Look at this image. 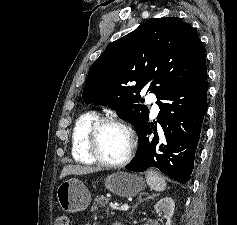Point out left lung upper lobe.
Instances as JSON below:
<instances>
[{"instance_id": "left-lung-upper-lobe-1", "label": "left lung upper lobe", "mask_w": 237, "mask_h": 225, "mask_svg": "<svg viewBox=\"0 0 237 225\" xmlns=\"http://www.w3.org/2000/svg\"><path fill=\"white\" fill-rule=\"evenodd\" d=\"M206 77L205 52L195 30L177 17L155 18L107 47L89 69L82 98L107 104L138 132L149 115L140 99L144 87L160 99Z\"/></svg>"}]
</instances>
